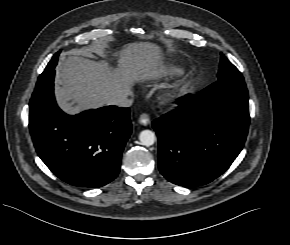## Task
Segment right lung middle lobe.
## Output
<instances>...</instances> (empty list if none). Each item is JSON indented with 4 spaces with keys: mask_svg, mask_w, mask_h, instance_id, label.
I'll return each mask as SVG.
<instances>
[{
    "mask_svg": "<svg viewBox=\"0 0 290 245\" xmlns=\"http://www.w3.org/2000/svg\"><path fill=\"white\" fill-rule=\"evenodd\" d=\"M60 54V51H58L54 56L53 58L51 59V61L48 63L47 67L45 68L44 71H49L51 69H54L56 64H57V61H58V56Z\"/></svg>",
    "mask_w": 290,
    "mask_h": 245,
    "instance_id": "dd1d6c3e",
    "label": "right lung middle lobe"
}]
</instances>
